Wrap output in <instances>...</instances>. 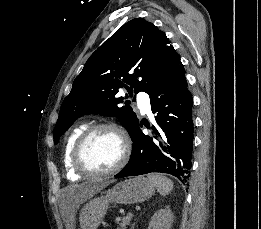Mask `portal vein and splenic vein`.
<instances>
[{
	"label": "portal vein and splenic vein",
	"instance_id": "obj_1",
	"mask_svg": "<svg viewBox=\"0 0 261 229\" xmlns=\"http://www.w3.org/2000/svg\"><path fill=\"white\" fill-rule=\"evenodd\" d=\"M127 217H132V213H129V215H127Z\"/></svg>",
	"mask_w": 261,
	"mask_h": 229
}]
</instances>
